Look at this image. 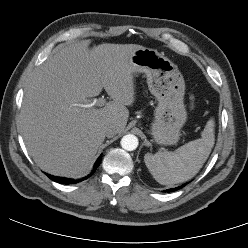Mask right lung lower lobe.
<instances>
[{"label": "right lung lower lobe", "instance_id": "1", "mask_svg": "<svg viewBox=\"0 0 248 248\" xmlns=\"http://www.w3.org/2000/svg\"><path fill=\"white\" fill-rule=\"evenodd\" d=\"M101 159H102V155L99 156V158L97 159L95 165H94V168L92 170V172L86 176V177H83L82 179H78V180H74V179H69V178H63V177H56V176H53V175H49V174H46L51 180L55 181V182H58V183H61V184H74V183H78L80 181H83L87 178H89L94 172L95 170L99 167L100 163H101Z\"/></svg>", "mask_w": 248, "mask_h": 248}]
</instances>
